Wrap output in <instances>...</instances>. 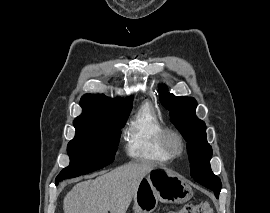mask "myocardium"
<instances>
[{"instance_id":"1","label":"myocardium","mask_w":270,"mask_h":213,"mask_svg":"<svg viewBox=\"0 0 270 213\" xmlns=\"http://www.w3.org/2000/svg\"><path fill=\"white\" fill-rule=\"evenodd\" d=\"M161 146L171 158H174L184 153L185 140L179 131L165 128L161 135Z\"/></svg>"}]
</instances>
